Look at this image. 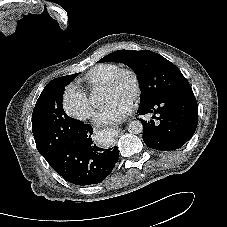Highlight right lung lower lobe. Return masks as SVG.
<instances>
[{
  "label": "right lung lower lobe",
  "mask_w": 227,
  "mask_h": 227,
  "mask_svg": "<svg viewBox=\"0 0 227 227\" xmlns=\"http://www.w3.org/2000/svg\"><path fill=\"white\" fill-rule=\"evenodd\" d=\"M69 137L49 157V165L68 182L75 185L97 184L103 181L118 161L117 146L103 149L91 138L92 126L75 120Z\"/></svg>",
  "instance_id": "right-lung-lower-lobe-1"
}]
</instances>
